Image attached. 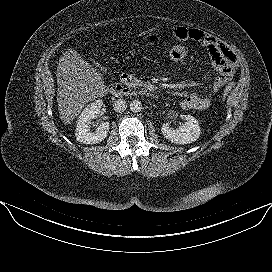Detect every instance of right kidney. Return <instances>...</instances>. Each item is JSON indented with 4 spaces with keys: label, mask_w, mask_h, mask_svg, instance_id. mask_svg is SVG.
<instances>
[{
    "label": "right kidney",
    "mask_w": 272,
    "mask_h": 272,
    "mask_svg": "<svg viewBox=\"0 0 272 272\" xmlns=\"http://www.w3.org/2000/svg\"><path fill=\"white\" fill-rule=\"evenodd\" d=\"M103 106V101L98 99L87 105L82 111L76 126V139L83 144H97L102 142L108 134L109 122H101L96 132H90V122L100 114V109Z\"/></svg>",
    "instance_id": "right-kidney-1"
}]
</instances>
